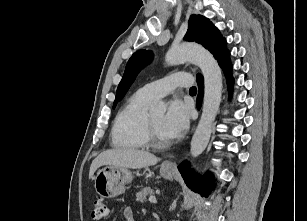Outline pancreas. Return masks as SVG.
Returning <instances> with one entry per match:
<instances>
[{
	"label": "pancreas",
	"mask_w": 307,
	"mask_h": 221,
	"mask_svg": "<svg viewBox=\"0 0 307 221\" xmlns=\"http://www.w3.org/2000/svg\"><path fill=\"white\" fill-rule=\"evenodd\" d=\"M153 195H154V190L150 187H145L136 194V197L138 201L145 202L147 200V196H153Z\"/></svg>",
	"instance_id": "1"
}]
</instances>
